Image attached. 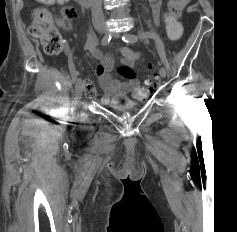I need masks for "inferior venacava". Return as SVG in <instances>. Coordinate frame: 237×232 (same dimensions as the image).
Wrapping results in <instances>:
<instances>
[{
	"label": "inferior vena cava",
	"mask_w": 237,
	"mask_h": 232,
	"mask_svg": "<svg viewBox=\"0 0 237 232\" xmlns=\"http://www.w3.org/2000/svg\"><path fill=\"white\" fill-rule=\"evenodd\" d=\"M92 20L101 21L104 19V13L102 9V0H90Z\"/></svg>",
	"instance_id": "obj_1"
}]
</instances>
